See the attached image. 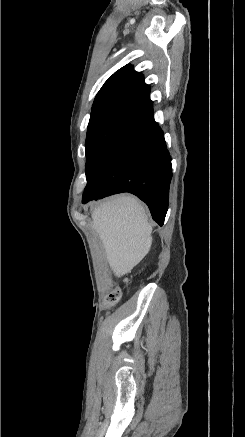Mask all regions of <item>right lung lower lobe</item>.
Returning <instances> with one entry per match:
<instances>
[{
	"label": "right lung lower lobe",
	"instance_id": "98d812e1",
	"mask_svg": "<svg viewBox=\"0 0 245 437\" xmlns=\"http://www.w3.org/2000/svg\"><path fill=\"white\" fill-rule=\"evenodd\" d=\"M172 178L171 157L153 110L127 128L87 180L83 203L121 192L144 201L162 226Z\"/></svg>",
	"mask_w": 245,
	"mask_h": 437
}]
</instances>
